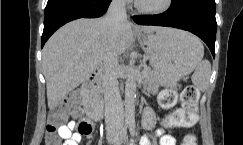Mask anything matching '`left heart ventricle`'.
I'll return each mask as SVG.
<instances>
[{
    "instance_id": "obj_1",
    "label": "left heart ventricle",
    "mask_w": 243,
    "mask_h": 145,
    "mask_svg": "<svg viewBox=\"0 0 243 145\" xmlns=\"http://www.w3.org/2000/svg\"><path fill=\"white\" fill-rule=\"evenodd\" d=\"M140 4L147 8H158L161 7L166 0H138Z\"/></svg>"
}]
</instances>
